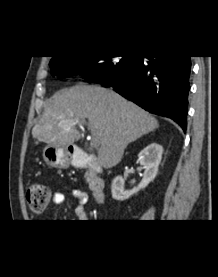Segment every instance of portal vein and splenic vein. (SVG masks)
Segmentation results:
<instances>
[{"instance_id":"1","label":"portal vein and splenic vein","mask_w":218,"mask_h":277,"mask_svg":"<svg viewBox=\"0 0 218 277\" xmlns=\"http://www.w3.org/2000/svg\"><path fill=\"white\" fill-rule=\"evenodd\" d=\"M69 124H70V126L68 127V129H70L72 126H75L76 124H79V121H70ZM99 145H100V142H99L98 138L93 137V139L91 141V146L93 148H98Z\"/></svg>"}]
</instances>
